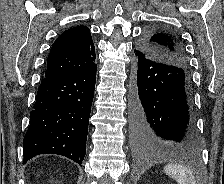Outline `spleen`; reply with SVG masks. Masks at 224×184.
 I'll return each mask as SVG.
<instances>
[{"mask_svg":"<svg viewBox=\"0 0 224 184\" xmlns=\"http://www.w3.org/2000/svg\"><path fill=\"white\" fill-rule=\"evenodd\" d=\"M164 171L178 184H196L194 174L182 165L168 164L164 167Z\"/></svg>","mask_w":224,"mask_h":184,"instance_id":"3e777b00","label":"spleen"}]
</instances>
